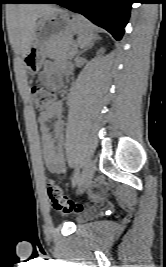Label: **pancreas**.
Instances as JSON below:
<instances>
[{
  "label": "pancreas",
  "instance_id": "cf45deb5",
  "mask_svg": "<svg viewBox=\"0 0 166 267\" xmlns=\"http://www.w3.org/2000/svg\"><path fill=\"white\" fill-rule=\"evenodd\" d=\"M75 50L70 45L68 38H60L54 41L49 49L48 55L51 59H70L74 56Z\"/></svg>",
  "mask_w": 166,
  "mask_h": 267
}]
</instances>
